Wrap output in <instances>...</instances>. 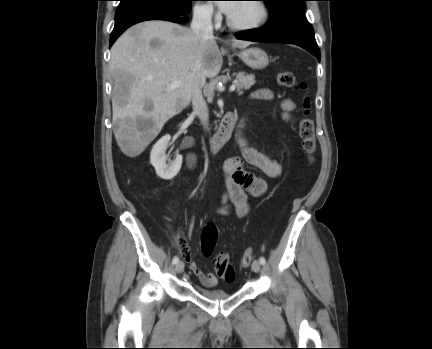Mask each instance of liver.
I'll return each mask as SVG.
<instances>
[{
	"label": "liver",
	"mask_w": 432,
	"mask_h": 349,
	"mask_svg": "<svg viewBox=\"0 0 432 349\" xmlns=\"http://www.w3.org/2000/svg\"><path fill=\"white\" fill-rule=\"evenodd\" d=\"M250 44L233 40L232 47ZM222 64L215 38H198L178 24L146 21L125 31L112 46L109 63L112 124L121 151L140 155L164 124L189 105L195 84L216 77ZM175 81L181 85L168 89Z\"/></svg>",
	"instance_id": "1"
}]
</instances>
